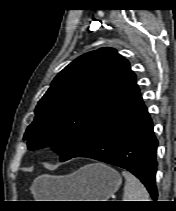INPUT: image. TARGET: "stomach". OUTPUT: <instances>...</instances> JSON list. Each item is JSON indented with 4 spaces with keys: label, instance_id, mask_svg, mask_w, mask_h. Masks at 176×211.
Instances as JSON below:
<instances>
[{
    "label": "stomach",
    "instance_id": "stomach-1",
    "mask_svg": "<svg viewBox=\"0 0 176 211\" xmlns=\"http://www.w3.org/2000/svg\"><path fill=\"white\" fill-rule=\"evenodd\" d=\"M122 178L113 168L94 163L65 176L43 175L36 179V196L44 201H108Z\"/></svg>",
    "mask_w": 176,
    "mask_h": 211
}]
</instances>
